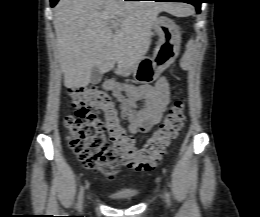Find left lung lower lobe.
Here are the masks:
<instances>
[{"label":"left lung lower lobe","instance_id":"0a47b994","mask_svg":"<svg viewBox=\"0 0 260 217\" xmlns=\"http://www.w3.org/2000/svg\"><path fill=\"white\" fill-rule=\"evenodd\" d=\"M155 1L186 2L194 5L198 13H200V7L202 3V0H155Z\"/></svg>","mask_w":260,"mask_h":217}]
</instances>
